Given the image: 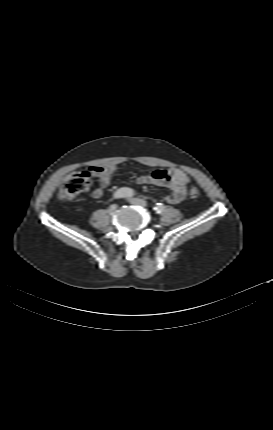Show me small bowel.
<instances>
[{"label": "small bowel", "instance_id": "small-bowel-1", "mask_svg": "<svg viewBox=\"0 0 273 430\" xmlns=\"http://www.w3.org/2000/svg\"><path fill=\"white\" fill-rule=\"evenodd\" d=\"M118 171L115 165L103 167L97 164L91 166V174L99 179V186L92 191V196L96 199L102 197L104 189L110 184L113 174ZM190 179L186 173L180 169L155 170L149 174L141 175L137 178V184H155L165 186L171 190V194L164 199L169 204H177L184 200L187 185Z\"/></svg>", "mask_w": 273, "mask_h": 430}]
</instances>
